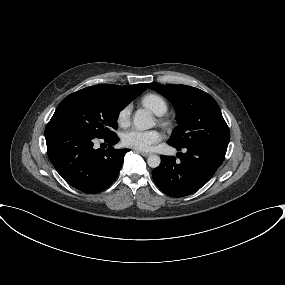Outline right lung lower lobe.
Here are the masks:
<instances>
[{
  "instance_id": "right-lung-lower-lobe-1",
  "label": "right lung lower lobe",
  "mask_w": 285,
  "mask_h": 285,
  "mask_svg": "<svg viewBox=\"0 0 285 285\" xmlns=\"http://www.w3.org/2000/svg\"><path fill=\"white\" fill-rule=\"evenodd\" d=\"M45 138L50 161L60 176L72 187L85 193H99L117 177L128 149H114L117 135L104 138L109 147L94 149L98 139L64 120L52 119Z\"/></svg>"
}]
</instances>
